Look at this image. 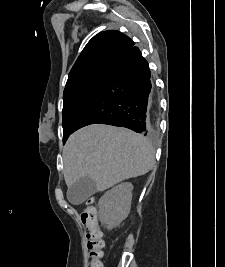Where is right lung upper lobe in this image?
Masks as SVG:
<instances>
[{"instance_id": "right-lung-upper-lobe-1", "label": "right lung upper lobe", "mask_w": 225, "mask_h": 267, "mask_svg": "<svg viewBox=\"0 0 225 267\" xmlns=\"http://www.w3.org/2000/svg\"><path fill=\"white\" fill-rule=\"evenodd\" d=\"M133 46L134 42L119 31L98 33L79 55L69 73L66 86L85 77L107 73L119 55Z\"/></svg>"}]
</instances>
